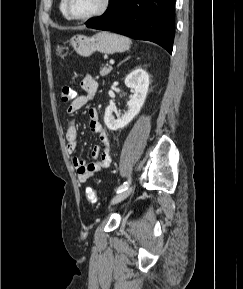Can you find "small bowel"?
<instances>
[{
  "mask_svg": "<svg viewBox=\"0 0 243 289\" xmlns=\"http://www.w3.org/2000/svg\"><path fill=\"white\" fill-rule=\"evenodd\" d=\"M81 86L86 94L75 97L71 101L66 110L68 114H74L84 107L93 99L98 90L97 81L89 75L82 79ZM88 115L91 130L99 136V144L93 149V162L87 163L79 157H73L71 159L72 166L77 172V179L80 183H86L91 177L108 168L111 163L110 142L105 128L100 123L98 111L95 108H90ZM77 135V126L75 122L72 121L65 133L66 150L69 154H74L77 150Z\"/></svg>",
  "mask_w": 243,
  "mask_h": 289,
  "instance_id": "small-bowel-1",
  "label": "small bowel"
}]
</instances>
